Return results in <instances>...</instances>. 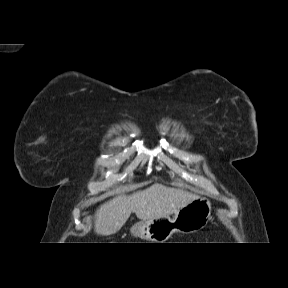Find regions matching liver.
<instances>
[{"label": "liver", "mask_w": 288, "mask_h": 288, "mask_svg": "<svg viewBox=\"0 0 288 288\" xmlns=\"http://www.w3.org/2000/svg\"><path fill=\"white\" fill-rule=\"evenodd\" d=\"M197 196L181 189L155 183L131 195H119L99 207L95 215L94 231L98 235H112L126 223L131 213L147 221L175 214Z\"/></svg>", "instance_id": "liver-1"}]
</instances>
